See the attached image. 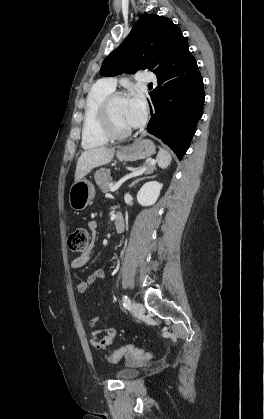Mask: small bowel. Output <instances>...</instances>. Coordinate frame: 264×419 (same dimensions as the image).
<instances>
[{
	"mask_svg": "<svg viewBox=\"0 0 264 419\" xmlns=\"http://www.w3.org/2000/svg\"><path fill=\"white\" fill-rule=\"evenodd\" d=\"M96 224L95 222H90L89 227L94 230ZM92 249H88L83 254L79 255L78 257L74 258L71 266L75 269L83 268L90 260L91 258ZM97 279H107V275L104 271L99 270L95 273L88 276L86 280H82L77 284V290L80 294H86L95 281ZM99 322V318L96 316H93L89 319V326L91 328H94ZM117 329L113 327H109L103 330H97L93 331L90 336V343L92 347L98 350H106L108 347H110L117 336Z\"/></svg>",
	"mask_w": 264,
	"mask_h": 419,
	"instance_id": "c3829d8e",
	"label": "small bowel"
}]
</instances>
